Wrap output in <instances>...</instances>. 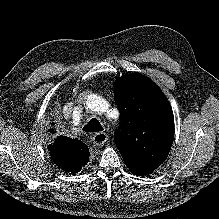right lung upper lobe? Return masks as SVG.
I'll list each match as a JSON object with an SVG mask.
<instances>
[{"mask_svg":"<svg viewBox=\"0 0 219 219\" xmlns=\"http://www.w3.org/2000/svg\"><path fill=\"white\" fill-rule=\"evenodd\" d=\"M51 133L55 131L51 130ZM48 149L53 162L65 172H79L89 161L88 147L78 139L58 136Z\"/></svg>","mask_w":219,"mask_h":219,"instance_id":"1","label":"right lung upper lobe"}]
</instances>
